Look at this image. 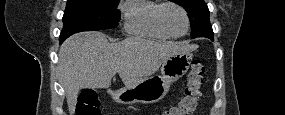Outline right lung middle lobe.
Here are the masks:
<instances>
[{
    "instance_id": "obj_1",
    "label": "right lung middle lobe",
    "mask_w": 285,
    "mask_h": 115,
    "mask_svg": "<svg viewBox=\"0 0 285 115\" xmlns=\"http://www.w3.org/2000/svg\"><path fill=\"white\" fill-rule=\"evenodd\" d=\"M119 0H67L60 43L81 31L115 28L120 20Z\"/></svg>"
}]
</instances>
